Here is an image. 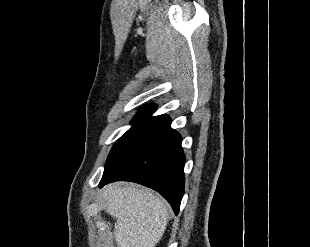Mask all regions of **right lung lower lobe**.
Returning <instances> with one entry per match:
<instances>
[{
  "label": "right lung lower lobe",
  "instance_id": "1",
  "mask_svg": "<svg viewBox=\"0 0 310 247\" xmlns=\"http://www.w3.org/2000/svg\"><path fill=\"white\" fill-rule=\"evenodd\" d=\"M167 115L153 117L106 165L99 187L132 181L159 192L179 212L184 194L185 155L181 136Z\"/></svg>",
  "mask_w": 310,
  "mask_h": 247
}]
</instances>
